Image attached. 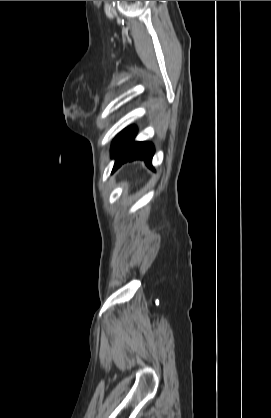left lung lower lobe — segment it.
<instances>
[{"instance_id":"1","label":"left lung lower lobe","mask_w":271,"mask_h":418,"mask_svg":"<svg viewBox=\"0 0 271 418\" xmlns=\"http://www.w3.org/2000/svg\"><path fill=\"white\" fill-rule=\"evenodd\" d=\"M136 135V128L131 126L119 133L112 143L111 154L114 157L115 165L114 172L123 163L133 160H144L145 163L152 167V157L154 154V147L152 143L148 142H134Z\"/></svg>"}]
</instances>
